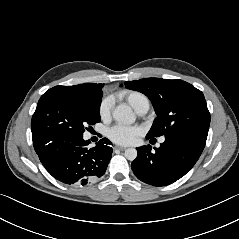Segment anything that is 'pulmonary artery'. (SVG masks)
<instances>
[{"label": "pulmonary artery", "mask_w": 239, "mask_h": 239, "mask_svg": "<svg viewBox=\"0 0 239 239\" xmlns=\"http://www.w3.org/2000/svg\"><path fill=\"white\" fill-rule=\"evenodd\" d=\"M149 107H150V103H149L148 100H146V101H144V102L141 104V106H140L139 110L137 111V113H139V114H145V113L149 110ZM164 140H165L164 138H161V139H160V143L164 142Z\"/></svg>", "instance_id": "obj_1"}]
</instances>
